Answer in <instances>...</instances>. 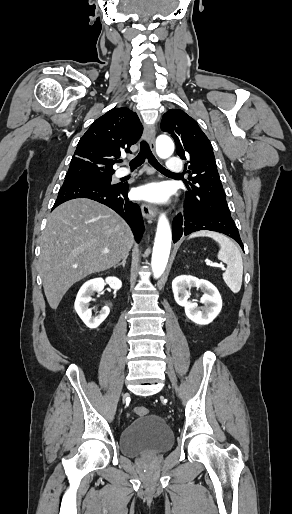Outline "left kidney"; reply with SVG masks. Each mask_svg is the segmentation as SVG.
<instances>
[{"instance_id": "1", "label": "left kidney", "mask_w": 292, "mask_h": 514, "mask_svg": "<svg viewBox=\"0 0 292 514\" xmlns=\"http://www.w3.org/2000/svg\"><path fill=\"white\" fill-rule=\"evenodd\" d=\"M193 286L194 288H201L204 292V296L200 300L201 304H204L203 308H199L196 304L198 300H195V302H189L188 300L191 296L188 288H193ZM172 290L177 304L184 306L187 318L195 324H200V326L210 324L221 312V296L217 288L207 280H198L194 276H177L172 282Z\"/></svg>"}]
</instances>
